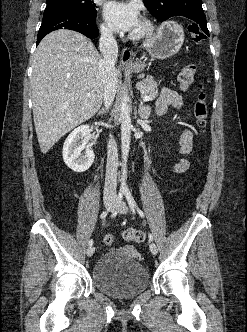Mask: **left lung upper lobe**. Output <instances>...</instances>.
I'll return each instance as SVG.
<instances>
[{"label": "left lung upper lobe", "mask_w": 247, "mask_h": 332, "mask_svg": "<svg viewBox=\"0 0 247 332\" xmlns=\"http://www.w3.org/2000/svg\"><path fill=\"white\" fill-rule=\"evenodd\" d=\"M144 5L159 21L179 15L205 16L202 0H144Z\"/></svg>", "instance_id": "5c2ea615"}]
</instances>
